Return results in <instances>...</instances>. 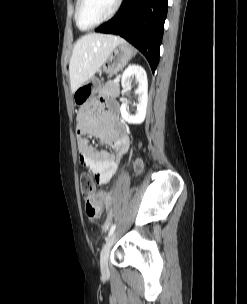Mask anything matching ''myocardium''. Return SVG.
<instances>
[{"label":"myocardium","instance_id":"1","mask_svg":"<svg viewBox=\"0 0 247 304\" xmlns=\"http://www.w3.org/2000/svg\"><path fill=\"white\" fill-rule=\"evenodd\" d=\"M122 1L123 0H116V4H115L114 9L104 19H102L101 21H99L95 25H92V26H89V27H83L81 25V21H80V13H81V8H82V5L84 3V0H78L77 6H76V10H75V20H76V24H77L78 28L80 30L85 31V30L94 29V28H96V27L104 24L105 22H108L109 20H111L117 14V12L119 11V9H120V7L122 5Z\"/></svg>","mask_w":247,"mask_h":304}]
</instances>
